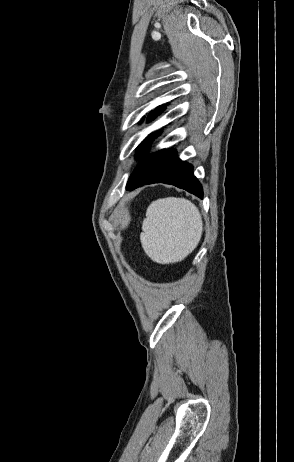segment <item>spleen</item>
<instances>
[{
  "label": "spleen",
  "instance_id": "spleen-1",
  "mask_svg": "<svg viewBox=\"0 0 294 462\" xmlns=\"http://www.w3.org/2000/svg\"><path fill=\"white\" fill-rule=\"evenodd\" d=\"M142 230L140 240L145 253L157 263H174L196 248L203 223L191 201L167 197L149 205Z\"/></svg>",
  "mask_w": 294,
  "mask_h": 462
}]
</instances>
